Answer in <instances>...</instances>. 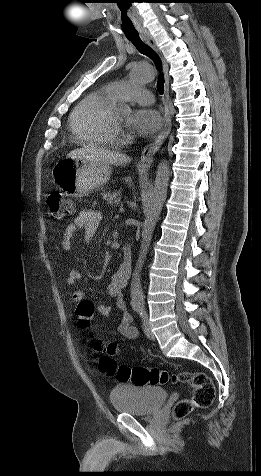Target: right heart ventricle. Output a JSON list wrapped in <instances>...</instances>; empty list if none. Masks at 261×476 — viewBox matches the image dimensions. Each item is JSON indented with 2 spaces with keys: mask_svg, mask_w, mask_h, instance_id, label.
I'll use <instances>...</instances> for the list:
<instances>
[{
  "mask_svg": "<svg viewBox=\"0 0 261 476\" xmlns=\"http://www.w3.org/2000/svg\"><path fill=\"white\" fill-rule=\"evenodd\" d=\"M116 99L106 89L86 95L74 108L70 128L75 140L87 145H110L116 137L111 108Z\"/></svg>",
  "mask_w": 261,
  "mask_h": 476,
  "instance_id": "e07e8e85",
  "label": "right heart ventricle"
}]
</instances>
